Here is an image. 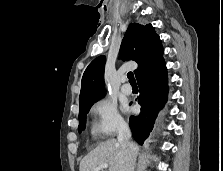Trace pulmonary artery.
Segmentation results:
<instances>
[{"label": "pulmonary artery", "instance_id": "1", "mask_svg": "<svg viewBox=\"0 0 223 171\" xmlns=\"http://www.w3.org/2000/svg\"><path fill=\"white\" fill-rule=\"evenodd\" d=\"M121 92L125 95H130L132 93V87L126 83V79L123 78V85L121 87Z\"/></svg>", "mask_w": 223, "mask_h": 171}]
</instances>
